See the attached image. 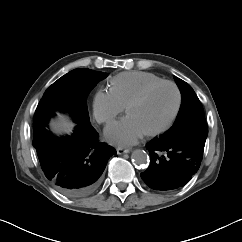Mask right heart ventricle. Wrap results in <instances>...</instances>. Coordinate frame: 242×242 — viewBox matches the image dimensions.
Wrapping results in <instances>:
<instances>
[{
	"instance_id": "e07e8e85",
	"label": "right heart ventricle",
	"mask_w": 242,
	"mask_h": 242,
	"mask_svg": "<svg viewBox=\"0 0 242 242\" xmlns=\"http://www.w3.org/2000/svg\"><path fill=\"white\" fill-rule=\"evenodd\" d=\"M159 76L142 71L122 72L110 80V89L121 103L126 106L144 88L161 81Z\"/></svg>"
}]
</instances>
